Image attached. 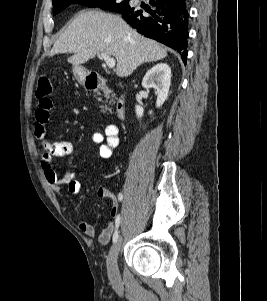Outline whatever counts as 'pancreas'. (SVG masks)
<instances>
[{"label": "pancreas", "instance_id": "cf45deb5", "mask_svg": "<svg viewBox=\"0 0 267 301\" xmlns=\"http://www.w3.org/2000/svg\"><path fill=\"white\" fill-rule=\"evenodd\" d=\"M113 97V96H112ZM106 99H110V96H107ZM103 109L107 110L108 108L106 106H103Z\"/></svg>", "mask_w": 267, "mask_h": 301}]
</instances>
